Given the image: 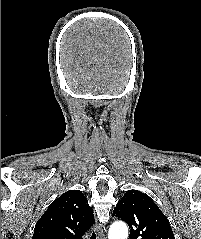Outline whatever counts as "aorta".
I'll return each instance as SVG.
<instances>
[{
  "label": "aorta",
  "instance_id": "1",
  "mask_svg": "<svg viewBox=\"0 0 201 239\" xmlns=\"http://www.w3.org/2000/svg\"><path fill=\"white\" fill-rule=\"evenodd\" d=\"M128 228L127 225L122 221H117L112 224L109 229L108 239H127Z\"/></svg>",
  "mask_w": 201,
  "mask_h": 239
}]
</instances>
